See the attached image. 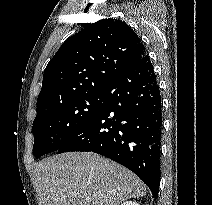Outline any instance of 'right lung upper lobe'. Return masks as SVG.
Here are the masks:
<instances>
[{
  "instance_id": "1",
  "label": "right lung upper lobe",
  "mask_w": 212,
  "mask_h": 205,
  "mask_svg": "<svg viewBox=\"0 0 212 205\" xmlns=\"http://www.w3.org/2000/svg\"><path fill=\"white\" fill-rule=\"evenodd\" d=\"M145 55L138 35L125 22L109 18L86 24L48 63L37 99V116L75 98L101 92Z\"/></svg>"
}]
</instances>
